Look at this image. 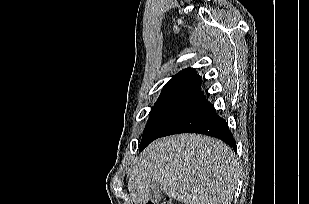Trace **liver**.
Masks as SVG:
<instances>
[{
    "instance_id": "1",
    "label": "liver",
    "mask_w": 309,
    "mask_h": 204,
    "mask_svg": "<svg viewBox=\"0 0 309 204\" xmlns=\"http://www.w3.org/2000/svg\"><path fill=\"white\" fill-rule=\"evenodd\" d=\"M239 166L222 141L198 134H181L151 143L134 163L128 190L134 202L149 200V187L184 204H231Z\"/></svg>"
}]
</instances>
